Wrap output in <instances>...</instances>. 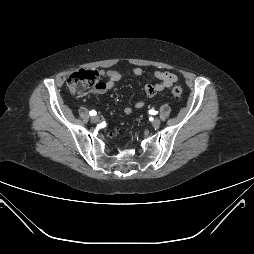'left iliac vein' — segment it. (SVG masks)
<instances>
[{
	"label": "left iliac vein",
	"instance_id": "1",
	"mask_svg": "<svg viewBox=\"0 0 254 254\" xmlns=\"http://www.w3.org/2000/svg\"><path fill=\"white\" fill-rule=\"evenodd\" d=\"M160 124H161V121H160V119H158V118H155V119L153 120V122H152V126L155 127V128L159 127Z\"/></svg>",
	"mask_w": 254,
	"mask_h": 254
}]
</instances>
